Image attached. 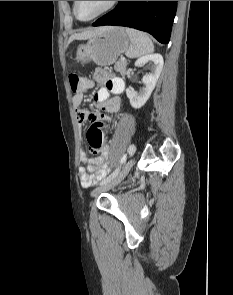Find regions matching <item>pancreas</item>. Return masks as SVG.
Wrapping results in <instances>:
<instances>
[{"mask_svg":"<svg viewBox=\"0 0 233 295\" xmlns=\"http://www.w3.org/2000/svg\"><path fill=\"white\" fill-rule=\"evenodd\" d=\"M126 66H127L126 60H124V61L119 60L115 63L114 69L116 72L120 73L123 76L125 74Z\"/></svg>","mask_w":233,"mask_h":295,"instance_id":"pancreas-1","label":"pancreas"}]
</instances>
